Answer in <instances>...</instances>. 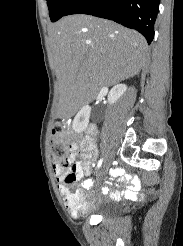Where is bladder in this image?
I'll return each instance as SVG.
<instances>
[{
    "label": "bladder",
    "instance_id": "bladder-1",
    "mask_svg": "<svg viewBox=\"0 0 183 246\" xmlns=\"http://www.w3.org/2000/svg\"><path fill=\"white\" fill-rule=\"evenodd\" d=\"M119 212V207L107 201H97L92 209V214L99 215L101 217L115 216Z\"/></svg>",
    "mask_w": 183,
    "mask_h": 246
}]
</instances>
